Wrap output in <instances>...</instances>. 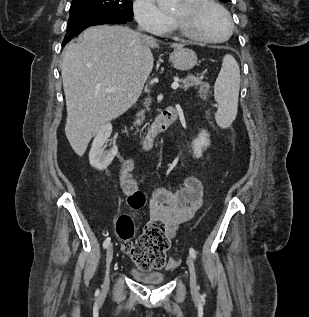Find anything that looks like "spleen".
<instances>
[{"mask_svg":"<svg viewBox=\"0 0 309 317\" xmlns=\"http://www.w3.org/2000/svg\"><path fill=\"white\" fill-rule=\"evenodd\" d=\"M239 89V65L233 56L225 55L214 85L215 100L218 103L215 118L219 126L228 127L235 120L238 110Z\"/></svg>","mask_w":309,"mask_h":317,"instance_id":"3e777b00","label":"spleen"}]
</instances>
